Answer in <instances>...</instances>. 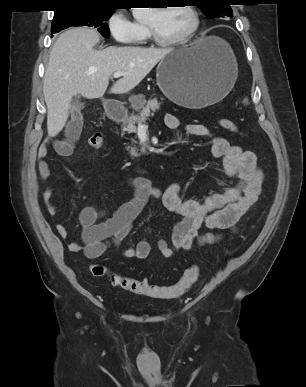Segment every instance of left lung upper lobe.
<instances>
[{
  "mask_svg": "<svg viewBox=\"0 0 306 387\" xmlns=\"http://www.w3.org/2000/svg\"><path fill=\"white\" fill-rule=\"evenodd\" d=\"M209 18L232 17L233 12L229 0H193Z\"/></svg>",
  "mask_w": 306,
  "mask_h": 387,
  "instance_id": "5c2ea615",
  "label": "left lung upper lobe"
}]
</instances>
